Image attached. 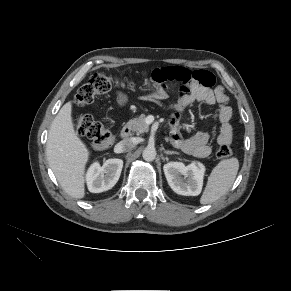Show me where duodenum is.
<instances>
[{"mask_svg":"<svg viewBox=\"0 0 291 291\" xmlns=\"http://www.w3.org/2000/svg\"><path fill=\"white\" fill-rule=\"evenodd\" d=\"M130 133H131V130H130L129 125H125L120 131V136L121 138L126 139L129 137Z\"/></svg>","mask_w":291,"mask_h":291,"instance_id":"duodenum-1","label":"duodenum"}]
</instances>
